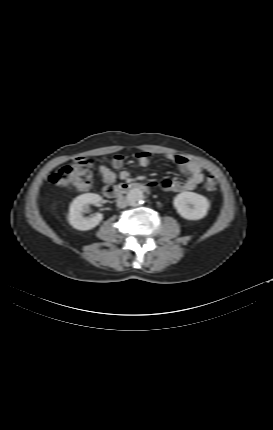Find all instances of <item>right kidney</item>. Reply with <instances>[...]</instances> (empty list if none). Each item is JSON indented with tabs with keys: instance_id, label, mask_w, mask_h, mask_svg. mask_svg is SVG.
<instances>
[{
	"instance_id": "1",
	"label": "right kidney",
	"mask_w": 273,
	"mask_h": 430,
	"mask_svg": "<svg viewBox=\"0 0 273 430\" xmlns=\"http://www.w3.org/2000/svg\"><path fill=\"white\" fill-rule=\"evenodd\" d=\"M102 198L95 193H86L76 197L70 204L68 220L73 228L86 231L96 227L103 219L101 213H97L91 218L83 216L90 204H99Z\"/></svg>"
}]
</instances>
